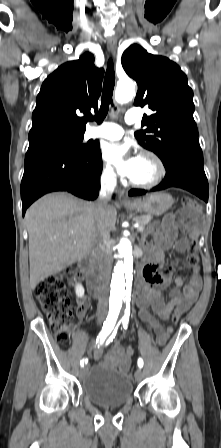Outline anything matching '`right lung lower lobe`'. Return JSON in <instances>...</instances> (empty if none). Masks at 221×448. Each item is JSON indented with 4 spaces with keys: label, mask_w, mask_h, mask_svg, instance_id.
Returning a JSON list of instances; mask_svg holds the SVG:
<instances>
[{
    "label": "right lung lower lobe",
    "mask_w": 221,
    "mask_h": 448,
    "mask_svg": "<svg viewBox=\"0 0 221 448\" xmlns=\"http://www.w3.org/2000/svg\"><path fill=\"white\" fill-rule=\"evenodd\" d=\"M101 173L99 145L88 154L66 147L28 149L21 182L22 215L36 199L53 191H68L87 200L96 199Z\"/></svg>",
    "instance_id": "right-lung-lower-lobe-1"
}]
</instances>
